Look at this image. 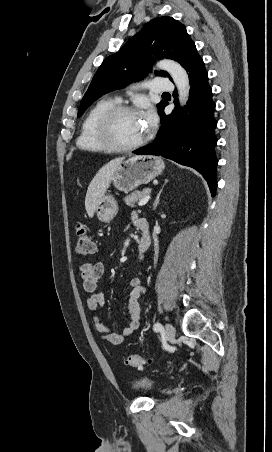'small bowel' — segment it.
Returning <instances> with one entry per match:
<instances>
[{"mask_svg": "<svg viewBox=\"0 0 272 452\" xmlns=\"http://www.w3.org/2000/svg\"><path fill=\"white\" fill-rule=\"evenodd\" d=\"M137 220L138 219L134 215L133 221L135 225ZM79 270L83 289L88 294L86 300L87 307L91 311L94 327L99 333L101 340L111 345H120L140 326L141 308L139 300L145 293V287L142 285L139 278L130 280L128 284L129 292L127 303L129 323L121 332H113L100 320L99 308L105 303V295L102 292H96L97 282L105 272L104 263H84L80 265Z\"/></svg>", "mask_w": 272, "mask_h": 452, "instance_id": "c3829d8e", "label": "small bowel"}]
</instances>
